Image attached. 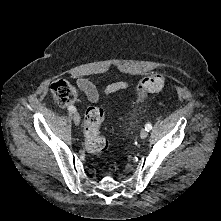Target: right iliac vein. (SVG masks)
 Listing matches in <instances>:
<instances>
[{
  "label": "right iliac vein",
  "mask_w": 221,
  "mask_h": 221,
  "mask_svg": "<svg viewBox=\"0 0 221 221\" xmlns=\"http://www.w3.org/2000/svg\"><path fill=\"white\" fill-rule=\"evenodd\" d=\"M73 121H74V123L76 125H79V123H80V115L77 112H74Z\"/></svg>",
  "instance_id": "1"
}]
</instances>
